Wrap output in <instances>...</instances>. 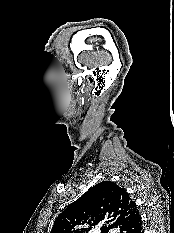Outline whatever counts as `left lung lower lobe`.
I'll list each match as a JSON object with an SVG mask.
<instances>
[{
    "instance_id": "left-lung-lower-lobe-1",
    "label": "left lung lower lobe",
    "mask_w": 174,
    "mask_h": 233,
    "mask_svg": "<svg viewBox=\"0 0 174 233\" xmlns=\"http://www.w3.org/2000/svg\"><path fill=\"white\" fill-rule=\"evenodd\" d=\"M118 231L119 233H144L139 213H136L129 221L123 224Z\"/></svg>"
}]
</instances>
